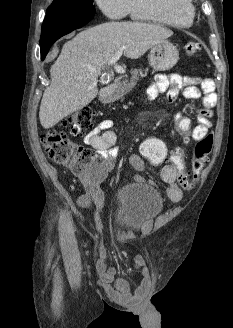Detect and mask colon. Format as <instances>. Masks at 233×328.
<instances>
[{
  "mask_svg": "<svg viewBox=\"0 0 233 328\" xmlns=\"http://www.w3.org/2000/svg\"><path fill=\"white\" fill-rule=\"evenodd\" d=\"M199 50L200 45L196 42H189L185 45L188 55H196ZM93 116L91 108H82L62 121L61 125H69L72 134H79L91 127ZM174 123L184 139L191 137L192 127L187 117L177 114ZM41 143L52 161L69 168L83 180H93L101 176L102 165L98 162L94 151L72 142L64 131L56 128L49 129L42 136ZM212 147L211 134L197 141L190 168H187L185 156L180 149L168 156L167 147L160 139L147 138L142 142L140 151L154 165L168 161L177 171L181 187L190 190L194 187L201 171L210 162Z\"/></svg>",
  "mask_w": 233,
  "mask_h": 328,
  "instance_id": "obj_1",
  "label": "colon"
}]
</instances>
